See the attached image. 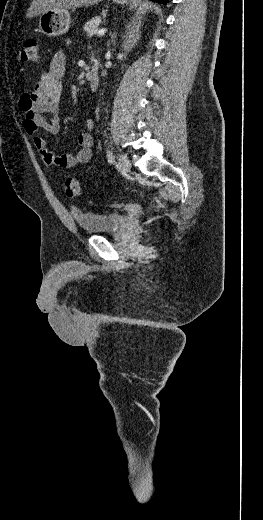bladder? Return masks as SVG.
<instances>
[{"mask_svg": "<svg viewBox=\"0 0 263 520\" xmlns=\"http://www.w3.org/2000/svg\"><path fill=\"white\" fill-rule=\"evenodd\" d=\"M74 219L78 227L88 234L119 231L127 223V217L121 213H77Z\"/></svg>", "mask_w": 263, "mask_h": 520, "instance_id": "bladder-1", "label": "bladder"}]
</instances>
